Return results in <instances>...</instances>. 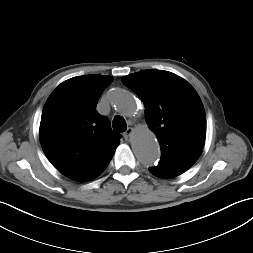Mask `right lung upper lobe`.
<instances>
[{
  "label": "right lung upper lobe",
  "mask_w": 253,
  "mask_h": 253,
  "mask_svg": "<svg viewBox=\"0 0 253 253\" xmlns=\"http://www.w3.org/2000/svg\"><path fill=\"white\" fill-rule=\"evenodd\" d=\"M113 77L84 75L61 83L45 103L40 142L48 160L76 181L99 176L109 164L121 136L96 111L102 92Z\"/></svg>",
  "instance_id": "right-lung-upper-lobe-1"
}]
</instances>
